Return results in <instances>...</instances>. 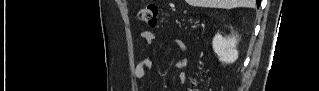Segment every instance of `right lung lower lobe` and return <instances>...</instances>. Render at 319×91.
Returning a JSON list of instances; mask_svg holds the SVG:
<instances>
[{
  "instance_id": "98d812e1",
  "label": "right lung lower lobe",
  "mask_w": 319,
  "mask_h": 91,
  "mask_svg": "<svg viewBox=\"0 0 319 91\" xmlns=\"http://www.w3.org/2000/svg\"><path fill=\"white\" fill-rule=\"evenodd\" d=\"M257 2V7L260 5L261 0H256Z\"/></svg>"
}]
</instances>
